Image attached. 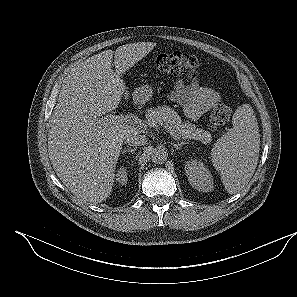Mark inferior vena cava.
<instances>
[{
    "label": "inferior vena cava",
    "mask_w": 297,
    "mask_h": 297,
    "mask_svg": "<svg viewBox=\"0 0 297 297\" xmlns=\"http://www.w3.org/2000/svg\"><path fill=\"white\" fill-rule=\"evenodd\" d=\"M148 139L138 132L129 133L125 136V143L130 146H141L147 143Z\"/></svg>",
    "instance_id": "obj_1"
}]
</instances>
